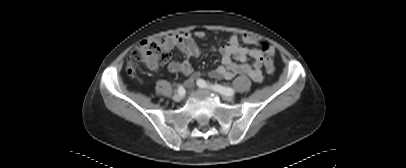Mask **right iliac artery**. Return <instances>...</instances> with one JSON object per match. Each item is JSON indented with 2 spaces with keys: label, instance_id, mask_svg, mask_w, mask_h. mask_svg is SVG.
<instances>
[{
  "label": "right iliac artery",
  "instance_id": "right-iliac-artery-1",
  "mask_svg": "<svg viewBox=\"0 0 406 168\" xmlns=\"http://www.w3.org/2000/svg\"><path fill=\"white\" fill-rule=\"evenodd\" d=\"M178 93L181 94V95H183L185 93V89L183 88V86L180 85L178 87Z\"/></svg>",
  "mask_w": 406,
  "mask_h": 168
}]
</instances>
